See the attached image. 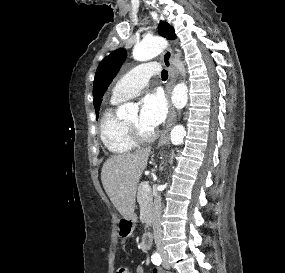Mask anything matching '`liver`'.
Returning <instances> with one entry per match:
<instances>
[{
  "label": "liver",
  "mask_w": 285,
  "mask_h": 273,
  "mask_svg": "<svg viewBox=\"0 0 285 273\" xmlns=\"http://www.w3.org/2000/svg\"><path fill=\"white\" fill-rule=\"evenodd\" d=\"M151 148H143L134 153L111 156L103 164L101 181L111 202L124 219L135 217V197L138 182Z\"/></svg>",
  "instance_id": "liver-1"
}]
</instances>
